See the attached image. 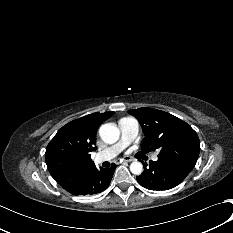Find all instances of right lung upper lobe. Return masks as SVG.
<instances>
[{
    "label": "right lung upper lobe",
    "mask_w": 233,
    "mask_h": 233,
    "mask_svg": "<svg viewBox=\"0 0 233 233\" xmlns=\"http://www.w3.org/2000/svg\"><path fill=\"white\" fill-rule=\"evenodd\" d=\"M114 112L92 113L64 125L49 142L45 161L51 176L68 192H74L96 166L90 153L96 149V131Z\"/></svg>",
    "instance_id": "cb5924a9"
}]
</instances>
